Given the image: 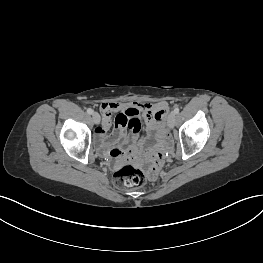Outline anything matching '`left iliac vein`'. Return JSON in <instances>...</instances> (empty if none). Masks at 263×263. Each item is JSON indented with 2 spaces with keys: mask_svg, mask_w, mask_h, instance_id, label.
<instances>
[{
  "mask_svg": "<svg viewBox=\"0 0 263 263\" xmlns=\"http://www.w3.org/2000/svg\"><path fill=\"white\" fill-rule=\"evenodd\" d=\"M176 122V113L174 111H172L169 115H168V119H167V123L169 128H173Z\"/></svg>",
  "mask_w": 263,
  "mask_h": 263,
  "instance_id": "left-iliac-vein-1",
  "label": "left iliac vein"
}]
</instances>
